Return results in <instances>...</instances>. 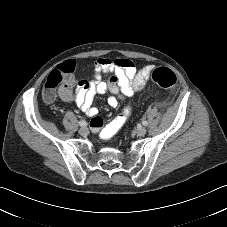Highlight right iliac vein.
Listing matches in <instances>:
<instances>
[{
  "mask_svg": "<svg viewBox=\"0 0 227 227\" xmlns=\"http://www.w3.org/2000/svg\"><path fill=\"white\" fill-rule=\"evenodd\" d=\"M79 134L82 136H86L88 134V129L84 126L79 129Z\"/></svg>",
  "mask_w": 227,
  "mask_h": 227,
  "instance_id": "right-iliac-vein-1",
  "label": "right iliac vein"
}]
</instances>
